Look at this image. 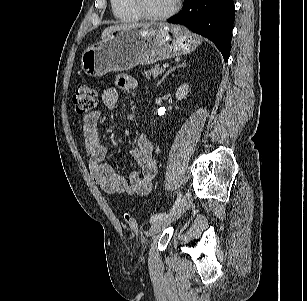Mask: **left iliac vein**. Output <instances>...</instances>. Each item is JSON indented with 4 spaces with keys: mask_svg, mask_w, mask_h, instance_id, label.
Here are the masks:
<instances>
[{
    "mask_svg": "<svg viewBox=\"0 0 307 301\" xmlns=\"http://www.w3.org/2000/svg\"><path fill=\"white\" fill-rule=\"evenodd\" d=\"M191 204L190 194L187 192L179 201V203L171 208L169 212L164 214L160 219L155 221L150 230V236L156 235L158 232L162 231L167 225L172 221L176 220L183 212H185Z\"/></svg>",
    "mask_w": 307,
    "mask_h": 301,
    "instance_id": "left-iliac-vein-1",
    "label": "left iliac vein"
}]
</instances>
